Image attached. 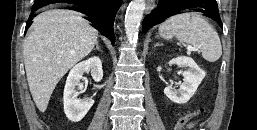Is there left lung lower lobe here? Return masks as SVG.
Instances as JSON below:
<instances>
[{
	"label": "left lung lower lobe",
	"mask_w": 257,
	"mask_h": 130,
	"mask_svg": "<svg viewBox=\"0 0 257 130\" xmlns=\"http://www.w3.org/2000/svg\"><path fill=\"white\" fill-rule=\"evenodd\" d=\"M184 9L202 12L222 26L216 0H160L158 6L144 18L143 33Z\"/></svg>",
	"instance_id": "left-lung-lower-lobe-1"
}]
</instances>
